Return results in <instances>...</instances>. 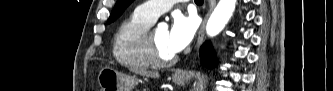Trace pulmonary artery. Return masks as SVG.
<instances>
[{
  "instance_id": "e3ab8cb5",
  "label": "pulmonary artery",
  "mask_w": 333,
  "mask_h": 91,
  "mask_svg": "<svg viewBox=\"0 0 333 91\" xmlns=\"http://www.w3.org/2000/svg\"><path fill=\"white\" fill-rule=\"evenodd\" d=\"M176 1H148L137 7V11L152 21L168 11Z\"/></svg>"
}]
</instances>
